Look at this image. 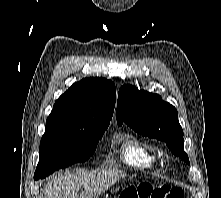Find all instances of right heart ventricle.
I'll return each instance as SVG.
<instances>
[{"instance_id":"right-heart-ventricle-1","label":"right heart ventricle","mask_w":221,"mask_h":198,"mask_svg":"<svg viewBox=\"0 0 221 198\" xmlns=\"http://www.w3.org/2000/svg\"><path fill=\"white\" fill-rule=\"evenodd\" d=\"M118 153L124 164L137 169L154 168L160 161L158 150L134 135L123 138L119 144Z\"/></svg>"}]
</instances>
